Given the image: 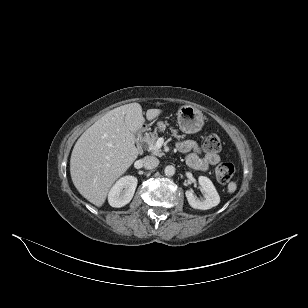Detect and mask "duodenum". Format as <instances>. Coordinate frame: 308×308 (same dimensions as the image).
I'll return each mask as SVG.
<instances>
[{"instance_id": "obj_1", "label": "duodenum", "mask_w": 308, "mask_h": 308, "mask_svg": "<svg viewBox=\"0 0 308 308\" xmlns=\"http://www.w3.org/2000/svg\"><path fill=\"white\" fill-rule=\"evenodd\" d=\"M145 133H146V128H145V127H142V128L138 131V133H137L138 138L141 140L142 137L145 135Z\"/></svg>"}]
</instances>
